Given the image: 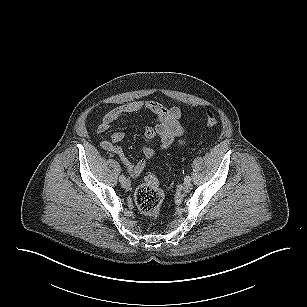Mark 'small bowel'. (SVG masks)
<instances>
[{
    "label": "small bowel",
    "mask_w": 307,
    "mask_h": 307,
    "mask_svg": "<svg viewBox=\"0 0 307 307\" xmlns=\"http://www.w3.org/2000/svg\"><path fill=\"white\" fill-rule=\"evenodd\" d=\"M139 111H148L156 116V124L148 126L144 130V136L147 140L158 139L161 150L169 149L183 134L184 129L179 123L182 115L178 107L170 106L165 103L155 101H132L109 110L102 118L97 127L99 134L108 131L113 122L117 119ZM125 137L123 131L112 133L109 139L101 141V146L104 150L112 152L126 167L131 177H138L147 166L146 160H140L137 163H132L123 149L118 145ZM142 153L146 159L151 160L156 156V151L149 145L142 146Z\"/></svg>",
    "instance_id": "obj_1"
}]
</instances>
